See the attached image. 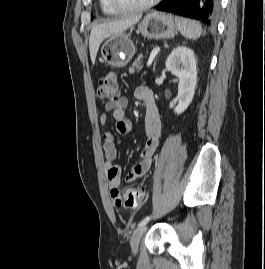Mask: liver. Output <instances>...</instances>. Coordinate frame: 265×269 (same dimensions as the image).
<instances>
[{"label":"liver","instance_id":"1","mask_svg":"<svg viewBox=\"0 0 265 269\" xmlns=\"http://www.w3.org/2000/svg\"><path fill=\"white\" fill-rule=\"evenodd\" d=\"M140 19L141 15H138L95 25L91 30L89 38V51L92 63H95L100 44L106 38L111 35L123 33L125 30L135 25Z\"/></svg>","mask_w":265,"mask_h":269}]
</instances>
